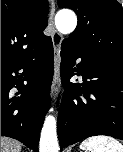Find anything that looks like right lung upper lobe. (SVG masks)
<instances>
[{
  "mask_svg": "<svg viewBox=\"0 0 123 152\" xmlns=\"http://www.w3.org/2000/svg\"><path fill=\"white\" fill-rule=\"evenodd\" d=\"M47 0H1V63L18 62L49 38Z\"/></svg>",
  "mask_w": 123,
  "mask_h": 152,
  "instance_id": "1",
  "label": "right lung upper lobe"
}]
</instances>
